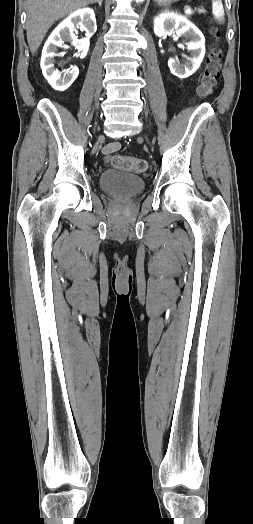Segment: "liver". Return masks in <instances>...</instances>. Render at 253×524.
Instances as JSON below:
<instances>
[{
	"instance_id": "1",
	"label": "liver",
	"mask_w": 253,
	"mask_h": 524,
	"mask_svg": "<svg viewBox=\"0 0 253 524\" xmlns=\"http://www.w3.org/2000/svg\"><path fill=\"white\" fill-rule=\"evenodd\" d=\"M95 0H26V32L30 51L34 54L48 29L58 19L94 3Z\"/></svg>"
}]
</instances>
